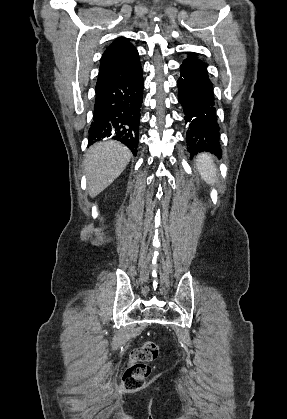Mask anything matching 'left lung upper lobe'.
Returning a JSON list of instances; mask_svg holds the SVG:
<instances>
[{"instance_id":"1","label":"left lung upper lobe","mask_w":287,"mask_h":419,"mask_svg":"<svg viewBox=\"0 0 287 419\" xmlns=\"http://www.w3.org/2000/svg\"><path fill=\"white\" fill-rule=\"evenodd\" d=\"M189 57L190 58H195L193 53H191Z\"/></svg>"}]
</instances>
